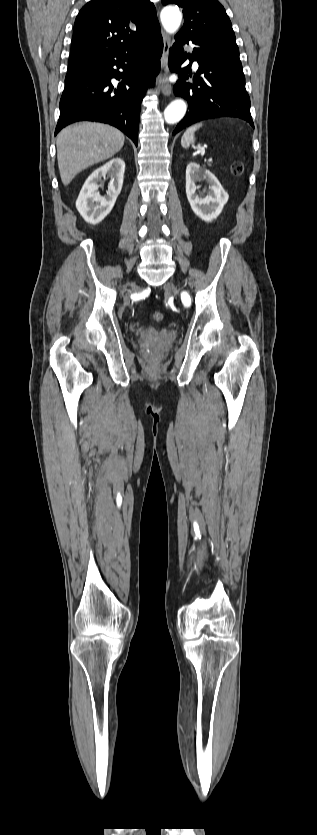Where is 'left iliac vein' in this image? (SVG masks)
Returning <instances> with one entry per match:
<instances>
[{
	"mask_svg": "<svg viewBox=\"0 0 317 835\" xmlns=\"http://www.w3.org/2000/svg\"><path fill=\"white\" fill-rule=\"evenodd\" d=\"M164 289L169 293L177 294V290H176L175 286L173 285V283H170V282L166 283L165 286H164Z\"/></svg>",
	"mask_w": 317,
	"mask_h": 835,
	"instance_id": "obj_1",
	"label": "left iliac vein"
}]
</instances>
